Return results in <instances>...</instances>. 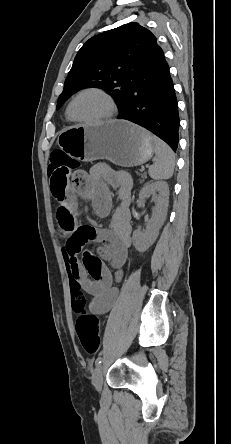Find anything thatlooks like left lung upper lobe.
Wrapping results in <instances>:
<instances>
[{
	"instance_id": "obj_1",
	"label": "left lung upper lobe",
	"mask_w": 231,
	"mask_h": 444,
	"mask_svg": "<svg viewBox=\"0 0 231 444\" xmlns=\"http://www.w3.org/2000/svg\"><path fill=\"white\" fill-rule=\"evenodd\" d=\"M160 49L152 32L138 23H128L90 38L74 59L56 108L78 90L97 87L112 92L121 110L135 77Z\"/></svg>"
}]
</instances>
